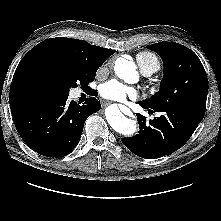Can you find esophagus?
I'll return each mask as SVG.
<instances>
[{
    "label": "esophagus",
    "mask_w": 221,
    "mask_h": 221,
    "mask_svg": "<svg viewBox=\"0 0 221 221\" xmlns=\"http://www.w3.org/2000/svg\"><path fill=\"white\" fill-rule=\"evenodd\" d=\"M107 105V103H104V106H106Z\"/></svg>",
    "instance_id": "1"
}]
</instances>
